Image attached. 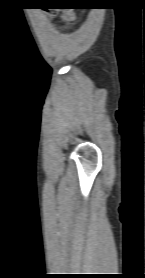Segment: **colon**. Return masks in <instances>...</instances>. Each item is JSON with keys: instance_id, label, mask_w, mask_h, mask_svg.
<instances>
[{"instance_id": "1", "label": "colon", "mask_w": 145, "mask_h": 278, "mask_svg": "<svg viewBox=\"0 0 145 278\" xmlns=\"http://www.w3.org/2000/svg\"><path fill=\"white\" fill-rule=\"evenodd\" d=\"M54 8L56 11H61V10H65L66 8H74V5H61Z\"/></svg>"}]
</instances>
